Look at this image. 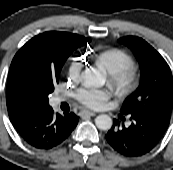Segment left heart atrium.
<instances>
[{"label": "left heart atrium", "instance_id": "1", "mask_svg": "<svg viewBox=\"0 0 173 170\" xmlns=\"http://www.w3.org/2000/svg\"><path fill=\"white\" fill-rule=\"evenodd\" d=\"M110 97V92L105 89H92L84 91L81 94L83 104L89 107H97L107 101Z\"/></svg>", "mask_w": 173, "mask_h": 170}]
</instances>
